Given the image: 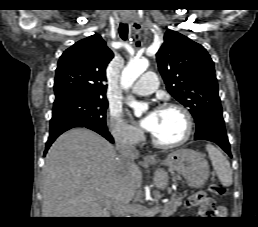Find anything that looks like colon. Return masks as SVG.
<instances>
[{
    "instance_id": "obj_1",
    "label": "colon",
    "mask_w": 258,
    "mask_h": 227,
    "mask_svg": "<svg viewBox=\"0 0 258 227\" xmlns=\"http://www.w3.org/2000/svg\"><path fill=\"white\" fill-rule=\"evenodd\" d=\"M210 190L218 195V196H225L226 195V188L219 184H212L210 186Z\"/></svg>"
}]
</instances>
